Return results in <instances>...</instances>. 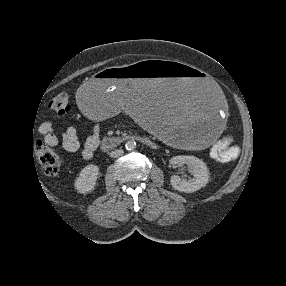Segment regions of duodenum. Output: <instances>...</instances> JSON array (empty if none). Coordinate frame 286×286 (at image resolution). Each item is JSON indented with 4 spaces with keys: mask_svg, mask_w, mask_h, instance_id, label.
Segmentation results:
<instances>
[{
    "mask_svg": "<svg viewBox=\"0 0 286 286\" xmlns=\"http://www.w3.org/2000/svg\"><path fill=\"white\" fill-rule=\"evenodd\" d=\"M128 140H136L144 142V139L136 135H123L104 138L100 145L103 149H112L118 147Z\"/></svg>",
    "mask_w": 286,
    "mask_h": 286,
    "instance_id": "duodenum-1",
    "label": "duodenum"
}]
</instances>
